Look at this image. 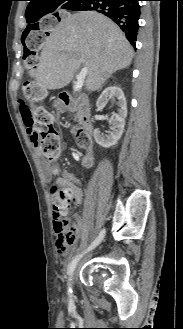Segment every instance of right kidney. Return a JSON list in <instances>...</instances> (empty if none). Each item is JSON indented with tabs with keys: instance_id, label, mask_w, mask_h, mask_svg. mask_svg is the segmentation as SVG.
I'll list each match as a JSON object with an SVG mask.
<instances>
[{
	"instance_id": "1",
	"label": "right kidney",
	"mask_w": 183,
	"mask_h": 329,
	"mask_svg": "<svg viewBox=\"0 0 183 329\" xmlns=\"http://www.w3.org/2000/svg\"><path fill=\"white\" fill-rule=\"evenodd\" d=\"M115 99H117L118 111L112 113L109 119L111 131L108 134H103L98 129L94 130L96 143L104 148L114 146L121 138L127 117V102L122 89L117 86L107 87L96 102L98 108H103L108 100L114 101Z\"/></svg>"
}]
</instances>
